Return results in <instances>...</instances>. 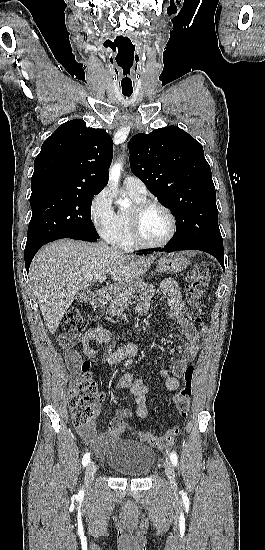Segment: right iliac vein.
I'll use <instances>...</instances> for the list:
<instances>
[{
	"label": "right iliac vein",
	"instance_id": "63e3f726",
	"mask_svg": "<svg viewBox=\"0 0 265 550\" xmlns=\"http://www.w3.org/2000/svg\"><path fill=\"white\" fill-rule=\"evenodd\" d=\"M96 472V465L94 462H90L86 469V479L88 482H92L94 478V474Z\"/></svg>",
	"mask_w": 265,
	"mask_h": 550
}]
</instances>
